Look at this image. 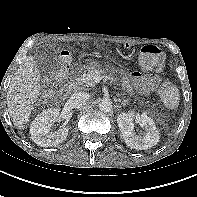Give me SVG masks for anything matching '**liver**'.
Segmentation results:
<instances>
[{
    "label": "liver",
    "mask_w": 197,
    "mask_h": 197,
    "mask_svg": "<svg viewBox=\"0 0 197 197\" xmlns=\"http://www.w3.org/2000/svg\"><path fill=\"white\" fill-rule=\"evenodd\" d=\"M40 88V73L31 55L19 66L8 88V112L15 126L21 128L29 121Z\"/></svg>",
    "instance_id": "1"
}]
</instances>
